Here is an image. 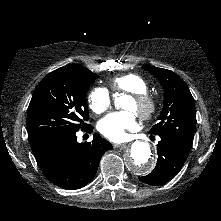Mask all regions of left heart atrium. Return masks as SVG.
Segmentation results:
<instances>
[{
    "label": "left heart atrium",
    "instance_id": "obj_1",
    "mask_svg": "<svg viewBox=\"0 0 221 221\" xmlns=\"http://www.w3.org/2000/svg\"><path fill=\"white\" fill-rule=\"evenodd\" d=\"M136 128L137 121L132 111L110 113L98 123L99 132L107 139L115 142L124 140L127 132Z\"/></svg>",
    "mask_w": 221,
    "mask_h": 221
}]
</instances>
